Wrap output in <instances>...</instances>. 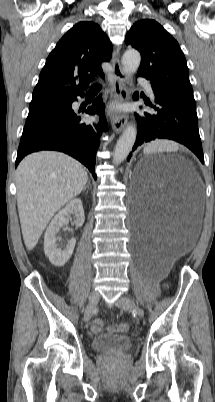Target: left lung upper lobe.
Masks as SVG:
<instances>
[{
    "label": "left lung upper lobe",
    "mask_w": 215,
    "mask_h": 402,
    "mask_svg": "<svg viewBox=\"0 0 215 402\" xmlns=\"http://www.w3.org/2000/svg\"><path fill=\"white\" fill-rule=\"evenodd\" d=\"M141 54L138 76L150 80L153 90L195 107L189 70L178 42L155 20L143 19L125 38Z\"/></svg>",
    "instance_id": "5c2ea615"
}]
</instances>
